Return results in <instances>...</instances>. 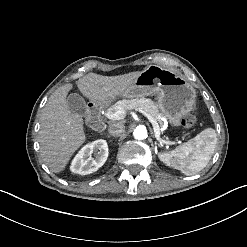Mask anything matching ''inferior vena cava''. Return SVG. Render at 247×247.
I'll return each mask as SVG.
<instances>
[{
  "mask_svg": "<svg viewBox=\"0 0 247 247\" xmlns=\"http://www.w3.org/2000/svg\"><path fill=\"white\" fill-rule=\"evenodd\" d=\"M108 132L114 137H119L125 132V126L121 122H114L109 125Z\"/></svg>",
  "mask_w": 247,
  "mask_h": 247,
  "instance_id": "obj_1",
  "label": "inferior vena cava"
}]
</instances>
